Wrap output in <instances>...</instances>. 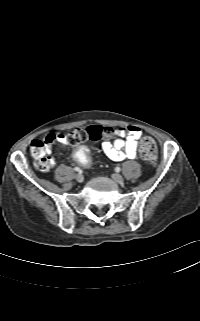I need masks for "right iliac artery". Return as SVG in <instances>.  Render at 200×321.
Masks as SVG:
<instances>
[{
    "label": "right iliac artery",
    "mask_w": 200,
    "mask_h": 321,
    "mask_svg": "<svg viewBox=\"0 0 200 321\" xmlns=\"http://www.w3.org/2000/svg\"><path fill=\"white\" fill-rule=\"evenodd\" d=\"M74 170L77 171V172L81 171V169L79 167H75Z\"/></svg>",
    "instance_id": "obj_1"
}]
</instances>
